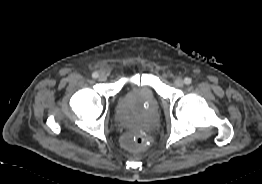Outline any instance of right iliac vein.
<instances>
[{
    "instance_id": "1",
    "label": "right iliac vein",
    "mask_w": 262,
    "mask_h": 184,
    "mask_svg": "<svg viewBox=\"0 0 262 184\" xmlns=\"http://www.w3.org/2000/svg\"><path fill=\"white\" fill-rule=\"evenodd\" d=\"M99 81H106L107 80V76L105 74H100L98 77Z\"/></svg>"
}]
</instances>
